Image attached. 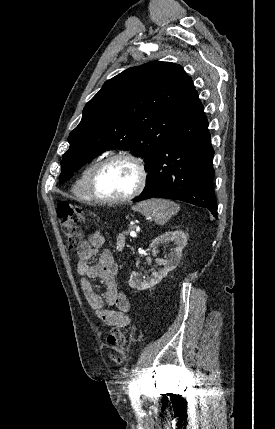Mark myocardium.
I'll use <instances>...</instances> for the list:
<instances>
[{"mask_svg":"<svg viewBox=\"0 0 275 429\" xmlns=\"http://www.w3.org/2000/svg\"><path fill=\"white\" fill-rule=\"evenodd\" d=\"M116 160H126L131 162L137 170L138 180L134 189L127 195L119 198H103L100 197L96 191V180L101 170L109 163ZM147 181V170L143 161L134 154L128 152H120L107 156L99 161L90 173L88 179V193L91 200L104 205H115L128 202L137 197L144 189Z\"/></svg>","mask_w":275,"mask_h":429,"instance_id":"obj_1","label":"myocardium"}]
</instances>
